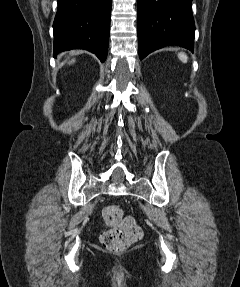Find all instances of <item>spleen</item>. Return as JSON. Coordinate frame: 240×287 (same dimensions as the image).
I'll list each match as a JSON object with an SVG mask.
<instances>
[{"instance_id": "3e777b00", "label": "spleen", "mask_w": 240, "mask_h": 287, "mask_svg": "<svg viewBox=\"0 0 240 287\" xmlns=\"http://www.w3.org/2000/svg\"><path fill=\"white\" fill-rule=\"evenodd\" d=\"M178 58L183 62V63H187L188 57L185 53H178Z\"/></svg>"}]
</instances>
